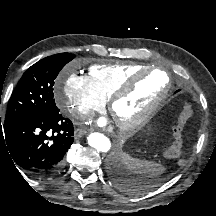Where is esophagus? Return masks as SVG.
<instances>
[{"instance_id":"obj_1","label":"esophagus","mask_w":216,"mask_h":216,"mask_svg":"<svg viewBox=\"0 0 216 216\" xmlns=\"http://www.w3.org/2000/svg\"><path fill=\"white\" fill-rule=\"evenodd\" d=\"M86 133V130L83 128H76L74 131L75 137L80 138L82 135Z\"/></svg>"}]
</instances>
